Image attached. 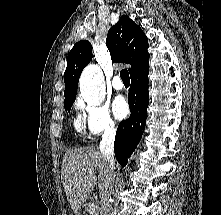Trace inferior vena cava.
<instances>
[{
	"mask_svg": "<svg viewBox=\"0 0 221 215\" xmlns=\"http://www.w3.org/2000/svg\"><path fill=\"white\" fill-rule=\"evenodd\" d=\"M114 140H115V129L109 128L105 131L102 141L100 142V151L102 153L103 158L107 161L108 171H109V179L108 184L104 193L101 195V215H111V205L110 198L113 193V185H114Z\"/></svg>",
	"mask_w": 221,
	"mask_h": 215,
	"instance_id": "inferior-vena-cava-1",
	"label": "inferior vena cava"
}]
</instances>
